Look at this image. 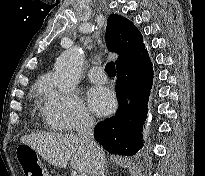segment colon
Listing matches in <instances>:
<instances>
[{"label": "colon", "instance_id": "colon-1", "mask_svg": "<svg viewBox=\"0 0 205 176\" xmlns=\"http://www.w3.org/2000/svg\"><path fill=\"white\" fill-rule=\"evenodd\" d=\"M17 158L22 165L25 176H45L44 165L36 152L32 150L18 152Z\"/></svg>", "mask_w": 205, "mask_h": 176}]
</instances>
